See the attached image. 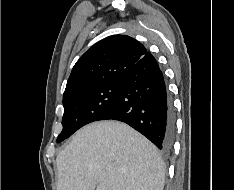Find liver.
Instances as JSON below:
<instances>
[{
	"label": "liver",
	"mask_w": 234,
	"mask_h": 190,
	"mask_svg": "<svg viewBox=\"0 0 234 190\" xmlns=\"http://www.w3.org/2000/svg\"><path fill=\"white\" fill-rule=\"evenodd\" d=\"M57 190H163L156 147L125 123L84 126L56 159Z\"/></svg>",
	"instance_id": "liver-1"
}]
</instances>
